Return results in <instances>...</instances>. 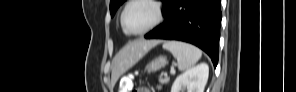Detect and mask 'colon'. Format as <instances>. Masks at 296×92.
<instances>
[{"mask_svg":"<svg viewBox=\"0 0 296 92\" xmlns=\"http://www.w3.org/2000/svg\"><path fill=\"white\" fill-rule=\"evenodd\" d=\"M119 91L120 92H149L148 89L136 88L134 86V75L133 74H128L120 80Z\"/></svg>","mask_w":296,"mask_h":92,"instance_id":"1","label":"colon"}]
</instances>
